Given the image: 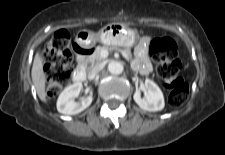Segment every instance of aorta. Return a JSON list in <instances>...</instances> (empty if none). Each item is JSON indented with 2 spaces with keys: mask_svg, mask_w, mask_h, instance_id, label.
<instances>
[{
  "mask_svg": "<svg viewBox=\"0 0 225 155\" xmlns=\"http://www.w3.org/2000/svg\"><path fill=\"white\" fill-rule=\"evenodd\" d=\"M123 65L118 62V61H111L109 64H108V71L111 73V74H114V75H119L123 72Z\"/></svg>",
  "mask_w": 225,
  "mask_h": 155,
  "instance_id": "aorta-1",
  "label": "aorta"
}]
</instances>
